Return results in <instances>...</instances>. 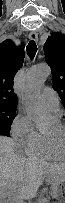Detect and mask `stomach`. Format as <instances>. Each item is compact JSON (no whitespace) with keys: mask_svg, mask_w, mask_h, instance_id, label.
Listing matches in <instances>:
<instances>
[{"mask_svg":"<svg viewBox=\"0 0 65 203\" xmlns=\"http://www.w3.org/2000/svg\"><path fill=\"white\" fill-rule=\"evenodd\" d=\"M49 182L52 186L55 196L63 194L65 190V171L62 177L54 175L49 179Z\"/></svg>","mask_w":65,"mask_h":203,"instance_id":"stomach-1","label":"stomach"}]
</instances>
